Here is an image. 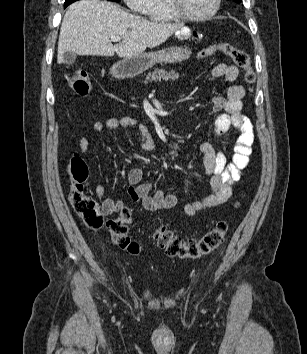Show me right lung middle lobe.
<instances>
[{"label":"right lung middle lobe","instance_id":"right-lung-middle-lobe-1","mask_svg":"<svg viewBox=\"0 0 307 354\" xmlns=\"http://www.w3.org/2000/svg\"><path fill=\"white\" fill-rule=\"evenodd\" d=\"M77 0H66L64 3V7H67L69 4L75 2ZM108 1H114V2H119L120 0H108Z\"/></svg>","mask_w":307,"mask_h":354}]
</instances>
